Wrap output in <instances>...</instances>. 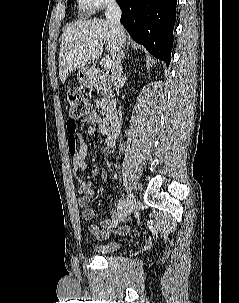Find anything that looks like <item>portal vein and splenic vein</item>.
Instances as JSON below:
<instances>
[{"instance_id":"portal-vein-and-splenic-vein-1","label":"portal vein and splenic vein","mask_w":239,"mask_h":303,"mask_svg":"<svg viewBox=\"0 0 239 303\" xmlns=\"http://www.w3.org/2000/svg\"><path fill=\"white\" fill-rule=\"evenodd\" d=\"M102 63L104 65V67H110L112 64L110 57L103 58Z\"/></svg>"}]
</instances>
